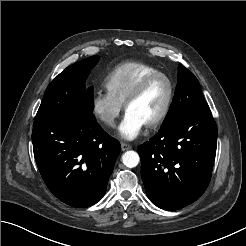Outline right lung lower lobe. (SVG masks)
I'll use <instances>...</instances> for the list:
<instances>
[{"mask_svg":"<svg viewBox=\"0 0 246 246\" xmlns=\"http://www.w3.org/2000/svg\"><path fill=\"white\" fill-rule=\"evenodd\" d=\"M33 150L40 174L62 202L77 208L97 203L121 147L94 116L69 120H35Z\"/></svg>","mask_w":246,"mask_h":246,"instance_id":"1","label":"right lung lower lobe"}]
</instances>
